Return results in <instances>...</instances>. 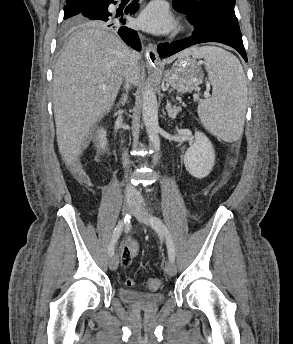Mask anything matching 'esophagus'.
Returning a JSON list of instances; mask_svg holds the SVG:
<instances>
[{"mask_svg":"<svg viewBox=\"0 0 293 344\" xmlns=\"http://www.w3.org/2000/svg\"><path fill=\"white\" fill-rule=\"evenodd\" d=\"M146 60L150 66L159 67V57L157 54L156 46L154 44H149L146 47Z\"/></svg>","mask_w":293,"mask_h":344,"instance_id":"34e87169","label":"esophagus"}]
</instances>
